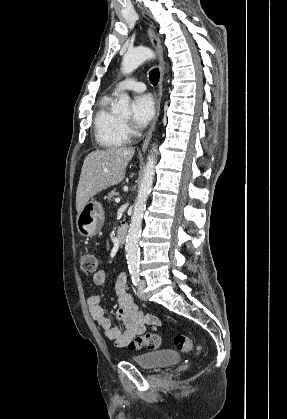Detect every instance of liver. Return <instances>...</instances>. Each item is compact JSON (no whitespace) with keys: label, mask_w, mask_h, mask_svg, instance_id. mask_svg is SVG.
Here are the masks:
<instances>
[{"label":"liver","mask_w":287,"mask_h":419,"mask_svg":"<svg viewBox=\"0 0 287 419\" xmlns=\"http://www.w3.org/2000/svg\"><path fill=\"white\" fill-rule=\"evenodd\" d=\"M134 154V148L113 147L87 155L76 192L78 213L93 196L123 181L127 164Z\"/></svg>","instance_id":"liver-1"}]
</instances>
